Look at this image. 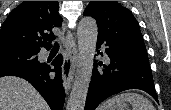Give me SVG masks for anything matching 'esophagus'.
Returning <instances> with one entry per match:
<instances>
[{"instance_id":"1","label":"esophagus","mask_w":171,"mask_h":110,"mask_svg":"<svg viewBox=\"0 0 171 110\" xmlns=\"http://www.w3.org/2000/svg\"><path fill=\"white\" fill-rule=\"evenodd\" d=\"M66 54L62 65V80L66 92H68L72 86L73 77L78 60V49L76 40L70 31L66 34Z\"/></svg>"}]
</instances>
